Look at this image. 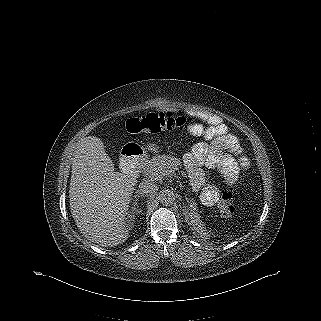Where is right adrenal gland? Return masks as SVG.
<instances>
[{
  "label": "right adrenal gland",
  "mask_w": 321,
  "mask_h": 321,
  "mask_svg": "<svg viewBox=\"0 0 321 321\" xmlns=\"http://www.w3.org/2000/svg\"><path fill=\"white\" fill-rule=\"evenodd\" d=\"M136 193H138L137 195H135L134 197H135V202H134V206L132 207V209H133V211L136 209V205H137V198H139L140 196H141V193L140 192H136ZM132 218V217H131Z\"/></svg>",
  "instance_id": "right-adrenal-gland-1"
}]
</instances>
